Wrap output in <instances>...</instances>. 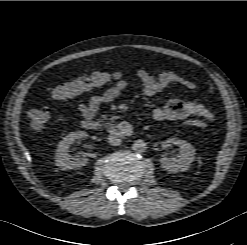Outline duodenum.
<instances>
[{
    "mask_svg": "<svg viewBox=\"0 0 247 245\" xmlns=\"http://www.w3.org/2000/svg\"><path fill=\"white\" fill-rule=\"evenodd\" d=\"M82 126L91 131L99 130L103 127L107 128L111 135L118 138H125L132 134L133 129L131 125L126 122L119 123L117 125H105L100 121H96L93 119H84L82 122Z\"/></svg>",
    "mask_w": 247,
    "mask_h": 245,
    "instance_id": "obj_1",
    "label": "duodenum"
}]
</instances>
